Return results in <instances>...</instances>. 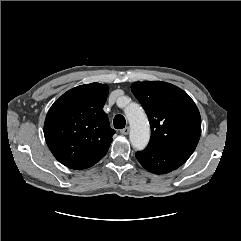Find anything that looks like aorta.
Masks as SVG:
<instances>
[{"label": "aorta", "mask_w": 241, "mask_h": 241, "mask_svg": "<svg viewBox=\"0 0 241 241\" xmlns=\"http://www.w3.org/2000/svg\"><path fill=\"white\" fill-rule=\"evenodd\" d=\"M125 114L130 124V142L137 150H143L150 139V127L143 109L136 103L125 108Z\"/></svg>", "instance_id": "aorta-1"}]
</instances>
